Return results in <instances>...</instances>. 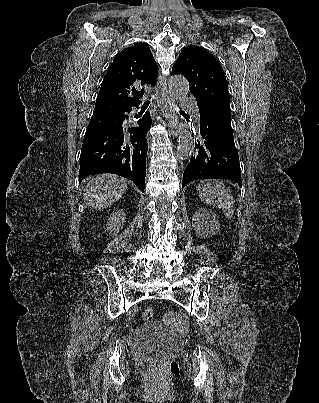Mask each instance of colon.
<instances>
[{"mask_svg": "<svg viewBox=\"0 0 319 403\" xmlns=\"http://www.w3.org/2000/svg\"><path fill=\"white\" fill-rule=\"evenodd\" d=\"M142 315L145 320H150L154 316V310L147 307L143 310ZM148 368L150 371L158 373L159 375H167L169 372H175V361L168 360L164 362L161 360H153L149 363Z\"/></svg>", "mask_w": 319, "mask_h": 403, "instance_id": "colon-1", "label": "colon"}]
</instances>
